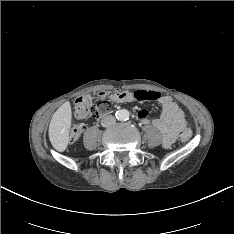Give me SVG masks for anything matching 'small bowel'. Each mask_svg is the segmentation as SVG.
I'll use <instances>...</instances> for the list:
<instances>
[{
  "instance_id": "c3829d8e",
  "label": "small bowel",
  "mask_w": 234,
  "mask_h": 234,
  "mask_svg": "<svg viewBox=\"0 0 234 234\" xmlns=\"http://www.w3.org/2000/svg\"><path fill=\"white\" fill-rule=\"evenodd\" d=\"M147 93H157L156 100L161 106V115L152 121V125L163 134V146L170 147L178 138L179 134L188 129V122L181 107L173 100L171 96H162L158 92L145 91ZM136 101L129 94L120 102ZM138 118L143 124H149L148 112L146 109H140L137 113Z\"/></svg>"
}]
</instances>
